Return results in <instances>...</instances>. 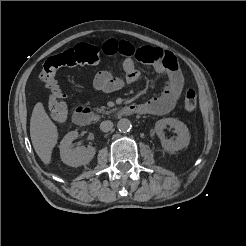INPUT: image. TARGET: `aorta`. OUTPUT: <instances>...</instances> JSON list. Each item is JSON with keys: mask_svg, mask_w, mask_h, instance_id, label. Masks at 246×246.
<instances>
[{"mask_svg": "<svg viewBox=\"0 0 246 246\" xmlns=\"http://www.w3.org/2000/svg\"><path fill=\"white\" fill-rule=\"evenodd\" d=\"M117 128L120 132L126 133L129 132L132 128V124L128 119H120L117 123Z\"/></svg>", "mask_w": 246, "mask_h": 246, "instance_id": "aorta-1", "label": "aorta"}]
</instances>
